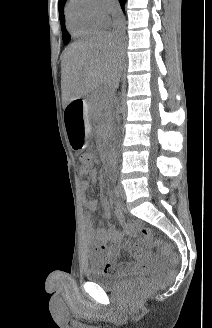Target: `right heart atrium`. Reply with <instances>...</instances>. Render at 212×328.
<instances>
[{"label": "right heart atrium", "mask_w": 212, "mask_h": 328, "mask_svg": "<svg viewBox=\"0 0 212 328\" xmlns=\"http://www.w3.org/2000/svg\"><path fill=\"white\" fill-rule=\"evenodd\" d=\"M92 6L94 14L105 21L106 23L110 19V15L115 11V0H89Z\"/></svg>", "instance_id": "d8ad5b80"}]
</instances>
